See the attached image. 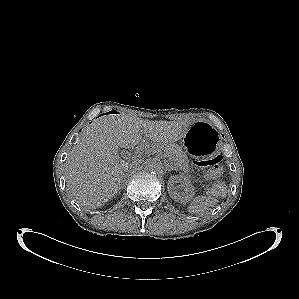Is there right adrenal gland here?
Returning a JSON list of instances; mask_svg holds the SVG:
<instances>
[{
	"label": "right adrenal gland",
	"mask_w": 299,
	"mask_h": 299,
	"mask_svg": "<svg viewBox=\"0 0 299 299\" xmlns=\"http://www.w3.org/2000/svg\"><path fill=\"white\" fill-rule=\"evenodd\" d=\"M126 178H127V176H126V174L123 176V181L122 182H124L125 180H126ZM123 184H121V186L119 187V189H123Z\"/></svg>",
	"instance_id": "obj_1"
}]
</instances>
